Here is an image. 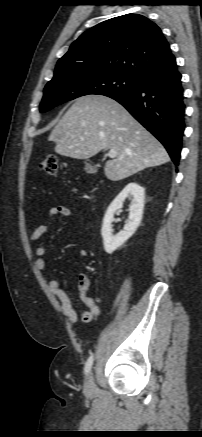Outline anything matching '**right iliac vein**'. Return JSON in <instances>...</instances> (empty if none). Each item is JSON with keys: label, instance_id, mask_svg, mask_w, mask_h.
<instances>
[{"label": "right iliac vein", "instance_id": "63e3f726", "mask_svg": "<svg viewBox=\"0 0 202 437\" xmlns=\"http://www.w3.org/2000/svg\"><path fill=\"white\" fill-rule=\"evenodd\" d=\"M84 387H85V391L88 394H92L94 392L95 385H94V381H93V377H92L91 373L88 374L86 381H85V384H84Z\"/></svg>", "mask_w": 202, "mask_h": 437}]
</instances>
